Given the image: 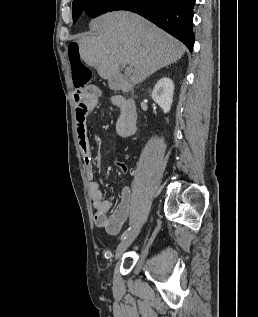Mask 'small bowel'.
I'll use <instances>...</instances> for the list:
<instances>
[{
	"label": "small bowel",
	"mask_w": 258,
	"mask_h": 317,
	"mask_svg": "<svg viewBox=\"0 0 258 317\" xmlns=\"http://www.w3.org/2000/svg\"><path fill=\"white\" fill-rule=\"evenodd\" d=\"M85 91L87 98L83 103L76 106L75 118L79 147L86 165L87 178L89 179V195L95 210L94 223L96 227L104 229L109 235H117L132 213L133 195L129 187H124L120 202L112 211V202L104 199L99 183L94 180L92 168L93 153L88 136L87 121L90 112L97 105L100 92L94 86L87 87ZM111 102L120 110V115L115 125L116 135L122 138L133 135L136 130L135 104L119 95L114 96ZM116 166L123 173L129 171L127 164L122 161H116Z\"/></svg>",
	"instance_id": "obj_1"
}]
</instances>
